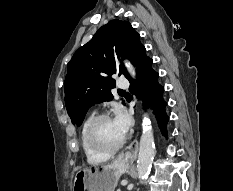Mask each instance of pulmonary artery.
<instances>
[{"label": "pulmonary artery", "mask_w": 233, "mask_h": 191, "mask_svg": "<svg viewBox=\"0 0 233 191\" xmlns=\"http://www.w3.org/2000/svg\"><path fill=\"white\" fill-rule=\"evenodd\" d=\"M117 86H118L119 88H128L129 82H128V80H127L126 78L120 77V78L118 79Z\"/></svg>", "instance_id": "1"}]
</instances>
